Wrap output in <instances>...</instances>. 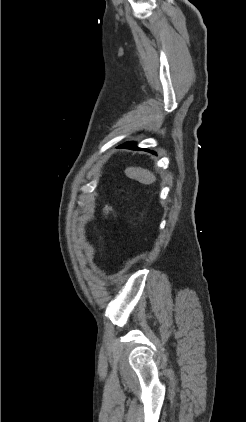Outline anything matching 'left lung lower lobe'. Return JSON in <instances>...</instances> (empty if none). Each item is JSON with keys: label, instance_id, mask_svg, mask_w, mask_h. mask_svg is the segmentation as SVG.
Returning <instances> with one entry per match:
<instances>
[{"label": "left lung lower lobe", "instance_id": "left-lung-lower-lobe-1", "mask_svg": "<svg viewBox=\"0 0 246 422\" xmlns=\"http://www.w3.org/2000/svg\"><path fill=\"white\" fill-rule=\"evenodd\" d=\"M120 147L128 148V149L147 150V149L137 148L135 142H127L126 144H123Z\"/></svg>", "mask_w": 246, "mask_h": 422}]
</instances>
